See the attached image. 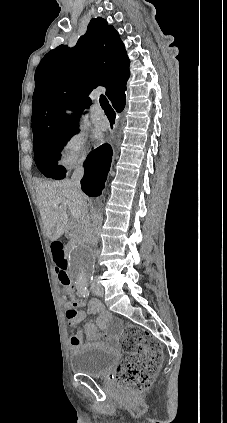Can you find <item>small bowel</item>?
Listing matches in <instances>:
<instances>
[{"mask_svg": "<svg viewBox=\"0 0 227 423\" xmlns=\"http://www.w3.org/2000/svg\"><path fill=\"white\" fill-rule=\"evenodd\" d=\"M65 307V316L70 326H76L86 318V313L83 308L86 306V302L76 297V288L73 284L65 290V295L61 298ZM88 311L91 314L96 315L94 320H87L84 325V333L89 340H93L97 337V330L107 329L112 323L116 324L117 321L113 316L104 309L100 302L92 300L88 304ZM70 346L72 350H76L82 344V333L78 330L70 337Z\"/></svg>", "mask_w": 227, "mask_h": 423, "instance_id": "c3829d8e", "label": "small bowel"}]
</instances>
